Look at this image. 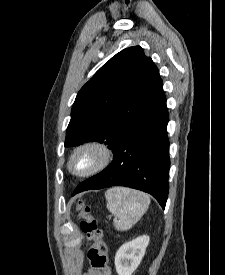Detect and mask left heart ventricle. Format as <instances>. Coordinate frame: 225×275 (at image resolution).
Returning <instances> with one entry per match:
<instances>
[{
    "label": "left heart ventricle",
    "instance_id": "left-heart-ventricle-1",
    "mask_svg": "<svg viewBox=\"0 0 225 275\" xmlns=\"http://www.w3.org/2000/svg\"><path fill=\"white\" fill-rule=\"evenodd\" d=\"M90 162V159L88 157H82L76 162V167L81 168L85 165H87Z\"/></svg>",
    "mask_w": 225,
    "mask_h": 275
}]
</instances>
